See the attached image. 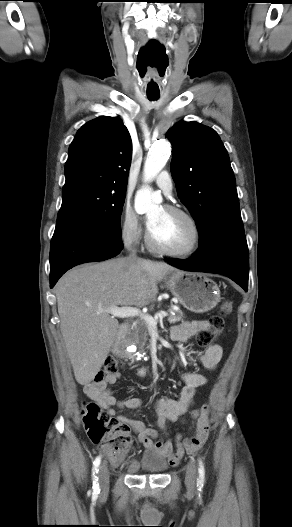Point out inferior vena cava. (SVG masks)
Segmentation results:
<instances>
[{
	"mask_svg": "<svg viewBox=\"0 0 292 527\" xmlns=\"http://www.w3.org/2000/svg\"><path fill=\"white\" fill-rule=\"evenodd\" d=\"M124 243H125V247L130 252L129 257L137 258L136 250L134 248H132V245H131V243H132L131 239L130 238H125L124 239Z\"/></svg>",
	"mask_w": 292,
	"mask_h": 527,
	"instance_id": "obj_1",
	"label": "inferior vena cava"
}]
</instances>
